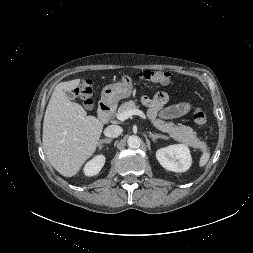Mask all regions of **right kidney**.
Segmentation results:
<instances>
[{"mask_svg":"<svg viewBox=\"0 0 253 253\" xmlns=\"http://www.w3.org/2000/svg\"><path fill=\"white\" fill-rule=\"evenodd\" d=\"M105 163V156L97 155L92 160H90L84 167V174L86 176L97 175Z\"/></svg>","mask_w":253,"mask_h":253,"instance_id":"ca27d5eb","label":"right kidney"}]
</instances>
